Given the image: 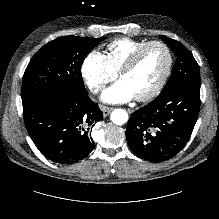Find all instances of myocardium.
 <instances>
[{
	"mask_svg": "<svg viewBox=\"0 0 219 219\" xmlns=\"http://www.w3.org/2000/svg\"><path fill=\"white\" fill-rule=\"evenodd\" d=\"M154 45H158L161 46L165 49L167 56H168V63H167V67L166 70L164 72V74L162 75L161 79L158 81V83L147 93L143 94V95H139V96H135V99L137 101H148L152 98H154L155 96H157L162 89L164 88V86L166 85L172 68H173V64H174V57H173V53L170 49V47L159 40H155V41H149L147 42L145 45H143L141 48H139L138 50H136L126 61L125 63L122 65V67L119 69L118 71V77L121 78L122 75L128 71H130L135 64L138 62V60L140 59V57L142 56V54L151 46Z\"/></svg>",
	"mask_w": 219,
	"mask_h": 219,
	"instance_id": "1",
	"label": "myocardium"
}]
</instances>
